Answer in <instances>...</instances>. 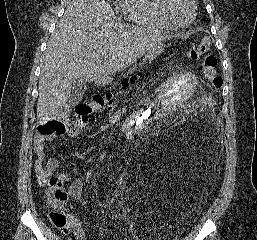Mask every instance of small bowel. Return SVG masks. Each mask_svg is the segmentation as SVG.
Here are the masks:
<instances>
[{"label":"small bowel","instance_id":"small-bowel-1","mask_svg":"<svg viewBox=\"0 0 257 240\" xmlns=\"http://www.w3.org/2000/svg\"><path fill=\"white\" fill-rule=\"evenodd\" d=\"M79 133V128L76 125H65V129L58 133L60 135H67L70 137H76ZM56 134L43 135L38 133L34 140V151L36 154V174L39 183L45 184L49 177L55 176L60 182H70L68 187V195L72 199H79L82 193V181L80 179H74L70 173L58 172L60 162L57 158L51 157L46 163L45 143L47 141H53ZM45 163V164H44ZM69 230L72 231L76 240H86V235L81 228L79 222L74 216H69Z\"/></svg>","mask_w":257,"mask_h":240}]
</instances>
